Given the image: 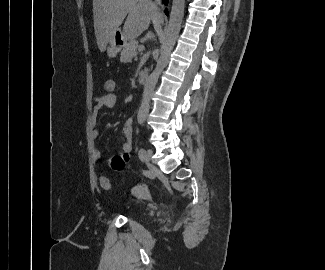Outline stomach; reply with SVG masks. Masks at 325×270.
Returning a JSON list of instances; mask_svg holds the SVG:
<instances>
[{"instance_id": "stomach-1", "label": "stomach", "mask_w": 325, "mask_h": 270, "mask_svg": "<svg viewBox=\"0 0 325 270\" xmlns=\"http://www.w3.org/2000/svg\"><path fill=\"white\" fill-rule=\"evenodd\" d=\"M127 41L122 31H116L107 48L109 57H115Z\"/></svg>"}]
</instances>
